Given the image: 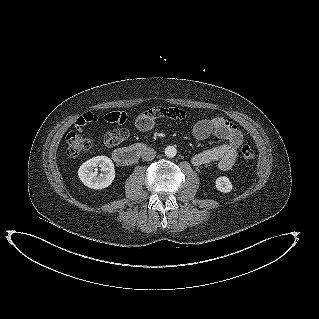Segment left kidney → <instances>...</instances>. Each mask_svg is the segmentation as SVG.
<instances>
[{"instance_id": "left-kidney-1", "label": "left kidney", "mask_w": 319, "mask_h": 319, "mask_svg": "<svg viewBox=\"0 0 319 319\" xmlns=\"http://www.w3.org/2000/svg\"><path fill=\"white\" fill-rule=\"evenodd\" d=\"M215 184H216L217 190L223 193H228L233 188L232 183L230 182L229 178H227L226 176L218 177L215 181Z\"/></svg>"}]
</instances>
